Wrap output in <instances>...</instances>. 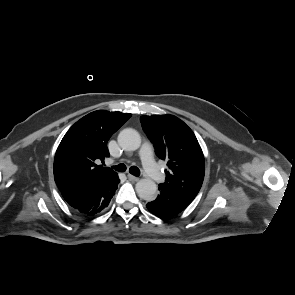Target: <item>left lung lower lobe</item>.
Returning <instances> with one entry per match:
<instances>
[{"mask_svg":"<svg viewBox=\"0 0 295 295\" xmlns=\"http://www.w3.org/2000/svg\"><path fill=\"white\" fill-rule=\"evenodd\" d=\"M158 197L147 203L148 210L159 218L173 217L182 212L195 197L159 187Z\"/></svg>","mask_w":295,"mask_h":295,"instance_id":"obj_1","label":"left lung lower lobe"}]
</instances>
